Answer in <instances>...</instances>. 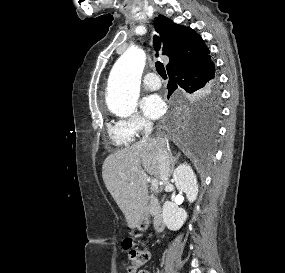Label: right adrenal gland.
<instances>
[{
  "label": "right adrenal gland",
  "mask_w": 285,
  "mask_h": 273,
  "mask_svg": "<svg viewBox=\"0 0 285 273\" xmlns=\"http://www.w3.org/2000/svg\"><path fill=\"white\" fill-rule=\"evenodd\" d=\"M170 159H171V171H170V175H172L174 173V166L177 163V160L180 157V154H177L176 156H173L172 153L170 152Z\"/></svg>",
  "instance_id": "2a0ac1e0"
}]
</instances>
